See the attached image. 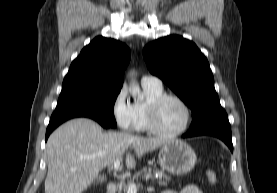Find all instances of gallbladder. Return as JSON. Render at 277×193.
Segmentation results:
<instances>
[{
	"instance_id": "obj_1",
	"label": "gallbladder",
	"mask_w": 277,
	"mask_h": 193,
	"mask_svg": "<svg viewBox=\"0 0 277 193\" xmlns=\"http://www.w3.org/2000/svg\"><path fill=\"white\" fill-rule=\"evenodd\" d=\"M106 181V177L103 176V175H100L98 178H97V182H105Z\"/></svg>"
}]
</instances>
